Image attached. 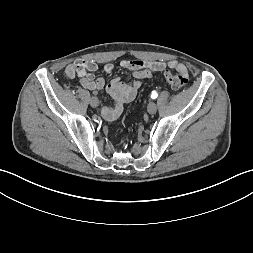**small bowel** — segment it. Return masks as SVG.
Listing matches in <instances>:
<instances>
[{"mask_svg":"<svg viewBox=\"0 0 253 253\" xmlns=\"http://www.w3.org/2000/svg\"><path fill=\"white\" fill-rule=\"evenodd\" d=\"M121 67L132 72L135 80L131 82H122L118 78H113L107 85L103 78H95L94 72L97 64L90 60H76L66 67V74L69 78L80 79V84L88 90H102L106 87L107 92L113 99L112 106L103 107L102 116L109 121L117 119L123 111L125 103L133 101L138 90L142 86V79L151 78L154 73L161 72L166 68H173L178 71L187 72L184 64L171 60L169 62L162 61H142V60H123ZM115 69L113 63H106L103 67L105 74H111Z\"/></svg>","mask_w":253,"mask_h":253,"instance_id":"c3829d8e","label":"small bowel"}]
</instances>
